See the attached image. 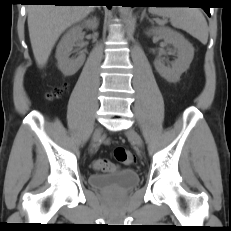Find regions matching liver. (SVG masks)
I'll use <instances>...</instances> for the list:
<instances>
[{
	"label": "liver",
	"mask_w": 231,
	"mask_h": 231,
	"mask_svg": "<svg viewBox=\"0 0 231 231\" xmlns=\"http://www.w3.org/2000/svg\"><path fill=\"white\" fill-rule=\"evenodd\" d=\"M95 6L30 5L28 30L38 66H44L59 36L72 24L85 18Z\"/></svg>",
	"instance_id": "6515ba94"
}]
</instances>
